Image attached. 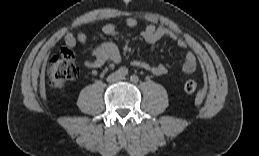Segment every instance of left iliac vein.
Returning <instances> with one entry per match:
<instances>
[{"label": "left iliac vein", "mask_w": 259, "mask_h": 156, "mask_svg": "<svg viewBox=\"0 0 259 156\" xmlns=\"http://www.w3.org/2000/svg\"><path fill=\"white\" fill-rule=\"evenodd\" d=\"M119 80H124V77H123V76H120V77H119Z\"/></svg>", "instance_id": "obj_1"}]
</instances>
